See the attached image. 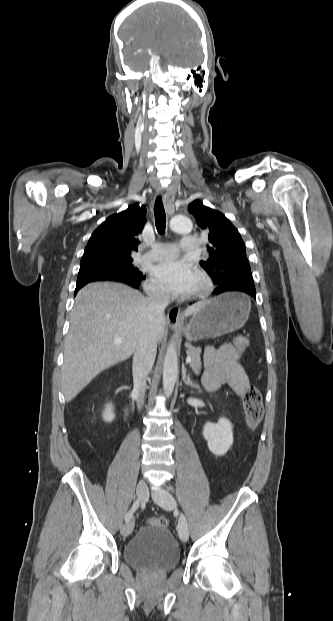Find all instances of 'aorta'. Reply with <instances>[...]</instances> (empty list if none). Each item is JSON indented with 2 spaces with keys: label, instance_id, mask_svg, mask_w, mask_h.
<instances>
[{
  "label": "aorta",
  "instance_id": "762f6f07",
  "mask_svg": "<svg viewBox=\"0 0 333 621\" xmlns=\"http://www.w3.org/2000/svg\"><path fill=\"white\" fill-rule=\"evenodd\" d=\"M170 228L176 233L187 234L192 230V223L187 217L174 216L170 220ZM178 375L177 352L174 344H170L167 348L163 363V390L169 397L176 384Z\"/></svg>",
  "mask_w": 333,
  "mask_h": 621
}]
</instances>
